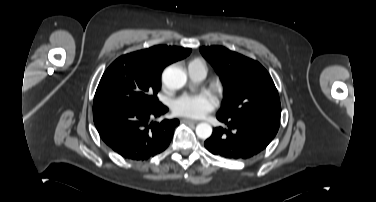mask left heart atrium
Wrapping results in <instances>:
<instances>
[{"instance_id":"1","label":"left heart atrium","mask_w":376,"mask_h":202,"mask_svg":"<svg viewBox=\"0 0 376 202\" xmlns=\"http://www.w3.org/2000/svg\"><path fill=\"white\" fill-rule=\"evenodd\" d=\"M217 105L216 99L208 92L184 94L177 98L172 105L176 115L200 118L212 111Z\"/></svg>"}]
</instances>
